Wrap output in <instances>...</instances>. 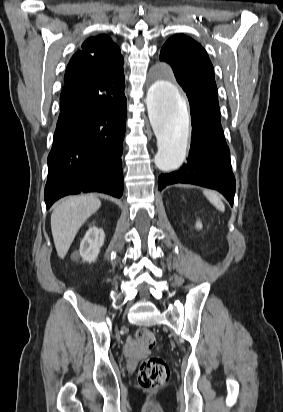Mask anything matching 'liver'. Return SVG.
Masks as SVG:
<instances>
[{
    "label": "liver",
    "instance_id": "6515ba94",
    "mask_svg": "<svg viewBox=\"0 0 283 412\" xmlns=\"http://www.w3.org/2000/svg\"><path fill=\"white\" fill-rule=\"evenodd\" d=\"M101 206L93 195L69 197L57 204L51 215V230L58 256L63 259L77 232Z\"/></svg>",
    "mask_w": 283,
    "mask_h": 412
}]
</instances>
